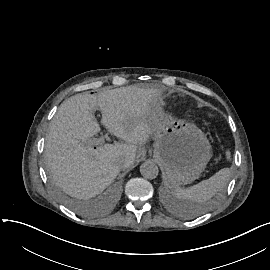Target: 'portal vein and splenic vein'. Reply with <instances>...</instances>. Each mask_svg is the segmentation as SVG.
Returning a JSON list of instances; mask_svg holds the SVG:
<instances>
[{
  "label": "portal vein and splenic vein",
  "instance_id": "1",
  "mask_svg": "<svg viewBox=\"0 0 270 270\" xmlns=\"http://www.w3.org/2000/svg\"><path fill=\"white\" fill-rule=\"evenodd\" d=\"M106 126V125H105ZM97 142H98V144H97V147L98 148H103L104 147V139L102 138V137H99L98 139H97Z\"/></svg>",
  "mask_w": 270,
  "mask_h": 270
}]
</instances>
